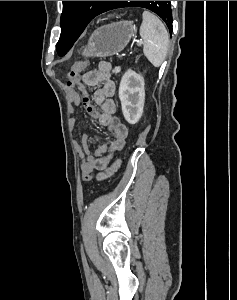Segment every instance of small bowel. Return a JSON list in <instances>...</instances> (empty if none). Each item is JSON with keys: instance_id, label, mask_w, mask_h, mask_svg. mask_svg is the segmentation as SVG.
I'll return each mask as SVG.
<instances>
[{"instance_id": "obj_1", "label": "small bowel", "mask_w": 237, "mask_h": 300, "mask_svg": "<svg viewBox=\"0 0 237 300\" xmlns=\"http://www.w3.org/2000/svg\"><path fill=\"white\" fill-rule=\"evenodd\" d=\"M112 72V64L109 61H102L96 69L84 74L82 81L75 86L82 92V97H80L75 87H68L72 103L75 105L82 103L87 113L97 119L110 132V136L105 143L97 141L93 154L89 149L88 135L82 136L81 147L78 149L82 173H91L93 170H97L100 172L99 179L108 177L117 169L119 163L111 165V159L123 149L128 135L127 126L115 116L116 104L112 100L115 93V83L111 79ZM100 83L102 85L96 89L91 98L86 91V86H96ZM74 123L75 120L72 119L70 122L71 127L74 126Z\"/></svg>"}]
</instances>
